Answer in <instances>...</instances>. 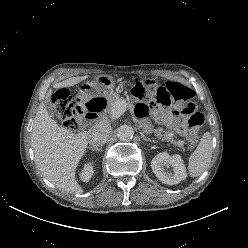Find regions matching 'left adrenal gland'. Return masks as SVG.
Segmentation results:
<instances>
[{"label": "left adrenal gland", "mask_w": 248, "mask_h": 248, "mask_svg": "<svg viewBox=\"0 0 248 248\" xmlns=\"http://www.w3.org/2000/svg\"><path fill=\"white\" fill-rule=\"evenodd\" d=\"M140 135H141V138H142L144 141L156 142L155 140H151L150 138L145 137V135H144L142 132H140Z\"/></svg>", "instance_id": "1"}]
</instances>
